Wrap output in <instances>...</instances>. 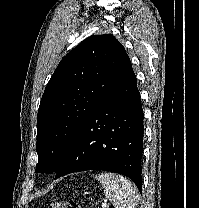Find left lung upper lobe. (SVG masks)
I'll return each instance as SVG.
<instances>
[{
	"label": "left lung upper lobe",
	"instance_id": "5c2ea615",
	"mask_svg": "<svg viewBox=\"0 0 199 208\" xmlns=\"http://www.w3.org/2000/svg\"><path fill=\"white\" fill-rule=\"evenodd\" d=\"M131 69L109 34L85 39L60 61L38 109L37 172L58 169L87 118Z\"/></svg>",
	"mask_w": 199,
	"mask_h": 208
}]
</instances>
